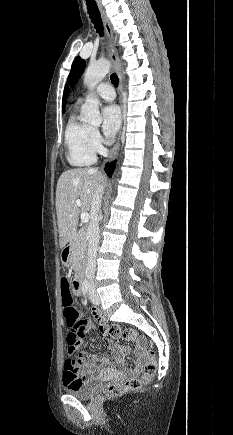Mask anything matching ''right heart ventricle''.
<instances>
[{
	"mask_svg": "<svg viewBox=\"0 0 233 435\" xmlns=\"http://www.w3.org/2000/svg\"><path fill=\"white\" fill-rule=\"evenodd\" d=\"M91 130V127L76 114L69 118L65 130V143L68 149L67 159L71 165L83 167L95 163V152L90 144Z\"/></svg>",
	"mask_w": 233,
	"mask_h": 435,
	"instance_id": "1",
	"label": "right heart ventricle"
}]
</instances>
